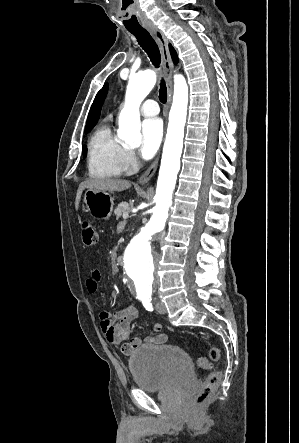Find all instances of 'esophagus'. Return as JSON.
<instances>
[{"instance_id":"obj_1","label":"esophagus","mask_w":299,"mask_h":443,"mask_svg":"<svg viewBox=\"0 0 299 443\" xmlns=\"http://www.w3.org/2000/svg\"><path fill=\"white\" fill-rule=\"evenodd\" d=\"M147 29L154 36L160 49L164 74L168 86V98L166 105V112H168L172 101V75H173V63L169 52L168 41L160 29L156 27H149ZM158 162H159V157L155 159V161L151 164V166L139 178L138 180L139 184L146 185L149 183L150 179L154 176L157 170Z\"/></svg>"}]
</instances>
